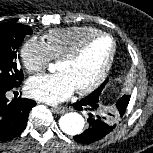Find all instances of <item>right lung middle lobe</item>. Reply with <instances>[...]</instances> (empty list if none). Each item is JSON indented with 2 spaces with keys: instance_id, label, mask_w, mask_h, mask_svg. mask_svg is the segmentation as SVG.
Here are the masks:
<instances>
[{
  "instance_id": "dd1d6c3e",
  "label": "right lung middle lobe",
  "mask_w": 153,
  "mask_h": 153,
  "mask_svg": "<svg viewBox=\"0 0 153 153\" xmlns=\"http://www.w3.org/2000/svg\"><path fill=\"white\" fill-rule=\"evenodd\" d=\"M29 26L5 22L0 24V85L16 87L23 79L17 66L18 48L26 35H31Z\"/></svg>"
}]
</instances>
